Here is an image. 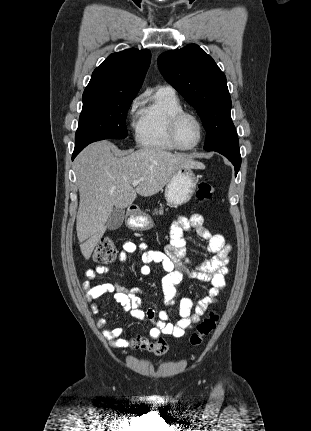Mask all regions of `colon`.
<instances>
[{
	"instance_id": "1",
	"label": "colon",
	"mask_w": 311,
	"mask_h": 431,
	"mask_svg": "<svg viewBox=\"0 0 311 431\" xmlns=\"http://www.w3.org/2000/svg\"><path fill=\"white\" fill-rule=\"evenodd\" d=\"M215 193V189L206 181H201L198 185L196 197L199 201H209ZM93 260L97 263H110L116 257V248L110 238H102L93 253ZM218 316L211 313L198 326L195 333L190 337V342L194 347L201 345L203 338L210 334L216 327ZM131 348L141 351H149L156 355L165 354L169 346L166 341L159 339L151 341L142 336H133L129 341Z\"/></svg>"
}]
</instances>
